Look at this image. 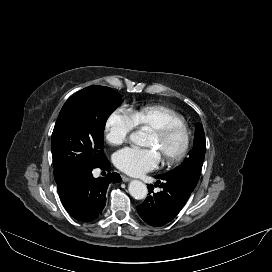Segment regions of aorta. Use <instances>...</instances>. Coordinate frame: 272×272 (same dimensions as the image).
<instances>
[{
	"label": "aorta",
	"mask_w": 272,
	"mask_h": 272,
	"mask_svg": "<svg viewBox=\"0 0 272 272\" xmlns=\"http://www.w3.org/2000/svg\"><path fill=\"white\" fill-rule=\"evenodd\" d=\"M129 139L136 145L142 146L144 144V134L141 131L131 133ZM128 191L130 195L137 200L146 198L148 194L147 186L139 180L131 181L128 186Z\"/></svg>",
	"instance_id": "aorta-1"
}]
</instances>
